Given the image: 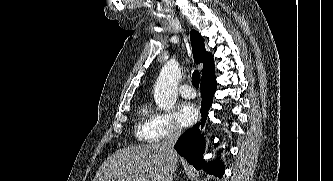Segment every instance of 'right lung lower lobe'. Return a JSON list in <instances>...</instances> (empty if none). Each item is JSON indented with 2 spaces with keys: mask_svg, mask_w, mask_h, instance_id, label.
Here are the masks:
<instances>
[{
  "mask_svg": "<svg viewBox=\"0 0 333 181\" xmlns=\"http://www.w3.org/2000/svg\"><path fill=\"white\" fill-rule=\"evenodd\" d=\"M216 79L204 81L201 83V114L202 120L198 125L193 126L192 129L185 131L175 144V150L183 156L191 165L197 169L207 167L208 173L222 176L224 174V167L222 162H212L205 166L203 161L204 153V137L201 135V129L206 121L207 113L213 102V95L216 90Z\"/></svg>",
  "mask_w": 333,
  "mask_h": 181,
  "instance_id": "right-lung-lower-lobe-1",
  "label": "right lung lower lobe"
}]
</instances>
